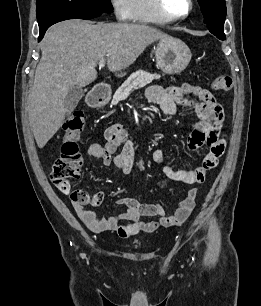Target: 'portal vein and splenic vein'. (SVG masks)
<instances>
[{"label":"portal vein and splenic vein","instance_id":"portal-vein-and-splenic-vein-1","mask_svg":"<svg viewBox=\"0 0 261 306\" xmlns=\"http://www.w3.org/2000/svg\"><path fill=\"white\" fill-rule=\"evenodd\" d=\"M98 65H99V68H103L105 66V60L104 59H101L99 62H98Z\"/></svg>","mask_w":261,"mask_h":306}]
</instances>
